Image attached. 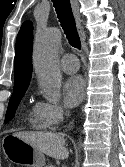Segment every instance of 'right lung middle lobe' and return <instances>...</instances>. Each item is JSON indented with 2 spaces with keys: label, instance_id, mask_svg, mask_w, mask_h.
<instances>
[{
  "label": "right lung middle lobe",
  "instance_id": "dd1d6c3e",
  "mask_svg": "<svg viewBox=\"0 0 125 167\" xmlns=\"http://www.w3.org/2000/svg\"><path fill=\"white\" fill-rule=\"evenodd\" d=\"M27 89L14 91L13 95L10 98L8 109L5 116V123L9 122L15 115V111L24 96Z\"/></svg>",
  "mask_w": 125,
  "mask_h": 167
}]
</instances>
